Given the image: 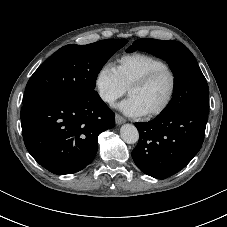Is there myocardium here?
Segmentation results:
<instances>
[{"label": "myocardium", "instance_id": "1", "mask_svg": "<svg viewBox=\"0 0 227 227\" xmlns=\"http://www.w3.org/2000/svg\"><path fill=\"white\" fill-rule=\"evenodd\" d=\"M162 73H167L171 77V89H170L167 99L159 108H157L149 113L144 114V116L147 118H153V117H157V116L163 114L171 105V103L175 97L176 91H177V76H176L175 72L168 66L156 68V69L146 73L139 79L135 80L128 87V94H129L131 92V90H133L135 88H141V87L148 85L155 77H157L158 75H160Z\"/></svg>", "mask_w": 227, "mask_h": 227}]
</instances>
